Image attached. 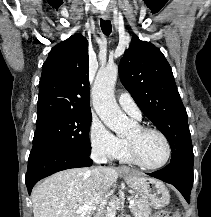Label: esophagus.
I'll return each instance as SVG.
<instances>
[{
	"mask_svg": "<svg viewBox=\"0 0 211 217\" xmlns=\"http://www.w3.org/2000/svg\"><path fill=\"white\" fill-rule=\"evenodd\" d=\"M102 18L104 19V20H108L109 18H110V16L108 15V14H103L102 15ZM121 171H128V168L127 167H125V166H122V167H120L119 168Z\"/></svg>",
	"mask_w": 211,
	"mask_h": 217,
	"instance_id": "34e87169",
	"label": "esophagus"
}]
</instances>
